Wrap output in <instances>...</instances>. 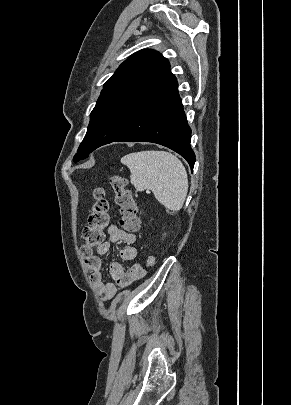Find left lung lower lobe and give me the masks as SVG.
<instances>
[{
  "mask_svg": "<svg viewBox=\"0 0 291 405\" xmlns=\"http://www.w3.org/2000/svg\"><path fill=\"white\" fill-rule=\"evenodd\" d=\"M190 136L178 83L169 68L143 97L127 129L114 142L163 145L180 154L192 169L195 154L190 147Z\"/></svg>",
  "mask_w": 291,
  "mask_h": 405,
  "instance_id": "left-lung-lower-lobe-1",
  "label": "left lung lower lobe"
}]
</instances>
